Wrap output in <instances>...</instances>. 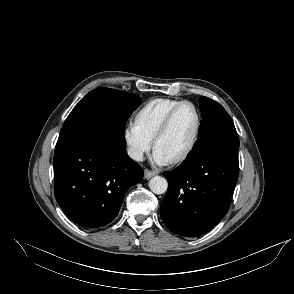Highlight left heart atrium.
I'll list each match as a JSON object with an SVG mask.
<instances>
[{"label": "left heart atrium", "mask_w": 294, "mask_h": 294, "mask_svg": "<svg viewBox=\"0 0 294 294\" xmlns=\"http://www.w3.org/2000/svg\"><path fill=\"white\" fill-rule=\"evenodd\" d=\"M152 159L155 164L160 165V166L166 165V164L170 163V161H171L167 156H165L157 148H155L153 151Z\"/></svg>", "instance_id": "obj_1"}]
</instances>
